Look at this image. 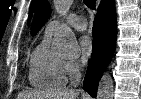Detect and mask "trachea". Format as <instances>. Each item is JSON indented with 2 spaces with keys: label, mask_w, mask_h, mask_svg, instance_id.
<instances>
[{
  "label": "trachea",
  "mask_w": 141,
  "mask_h": 99,
  "mask_svg": "<svg viewBox=\"0 0 141 99\" xmlns=\"http://www.w3.org/2000/svg\"><path fill=\"white\" fill-rule=\"evenodd\" d=\"M84 4L88 7V8H90V9H92V10H95V7H96V0H84Z\"/></svg>",
  "instance_id": "3493384b"
}]
</instances>
